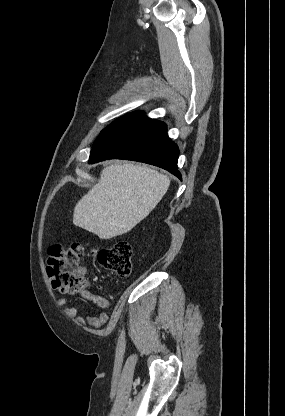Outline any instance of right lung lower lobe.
Segmentation results:
<instances>
[{
  "label": "right lung lower lobe",
  "mask_w": 285,
  "mask_h": 416,
  "mask_svg": "<svg viewBox=\"0 0 285 416\" xmlns=\"http://www.w3.org/2000/svg\"><path fill=\"white\" fill-rule=\"evenodd\" d=\"M179 149L167 136L165 123L146 118L99 143L90 153L89 163L126 159L161 167L179 179Z\"/></svg>",
  "instance_id": "right-lung-lower-lobe-1"
}]
</instances>
